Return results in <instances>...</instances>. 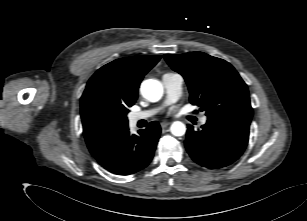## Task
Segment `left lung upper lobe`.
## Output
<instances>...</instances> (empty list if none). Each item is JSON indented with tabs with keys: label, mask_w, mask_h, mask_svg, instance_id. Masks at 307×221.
Segmentation results:
<instances>
[{
	"label": "left lung upper lobe",
	"mask_w": 307,
	"mask_h": 221,
	"mask_svg": "<svg viewBox=\"0 0 307 221\" xmlns=\"http://www.w3.org/2000/svg\"><path fill=\"white\" fill-rule=\"evenodd\" d=\"M170 67L187 82L190 102L208 119L234 118L251 122L253 110L247 85L234 67L203 52L165 54Z\"/></svg>",
	"instance_id": "1"
}]
</instances>
